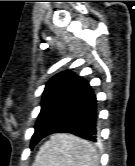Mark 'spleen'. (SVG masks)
I'll return each instance as SVG.
<instances>
[{
  "label": "spleen",
  "instance_id": "obj_1",
  "mask_svg": "<svg viewBox=\"0 0 135 166\" xmlns=\"http://www.w3.org/2000/svg\"><path fill=\"white\" fill-rule=\"evenodd\" d=\"M33 166H99V156L88 141L54 134L39 150Z\"/></svg>",
  "mask_w": 135,
  "mask_h": 166
}]
</instances>
